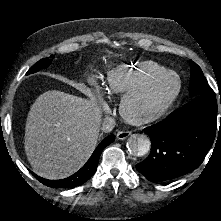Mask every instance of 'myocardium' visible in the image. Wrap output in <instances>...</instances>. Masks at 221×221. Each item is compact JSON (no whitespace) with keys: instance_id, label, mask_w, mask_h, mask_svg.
<instances>
[{"instance_id":"1","label":"myocardium","mask_w":221,"mask_h":221,"mask_svg":"<svg viewBox=\"0 0 221 221\" xmlns=\"http://www.w3.org/2000/svg\"><path fill=\"white\" fill-rule=\"evenodd\" d=\"M175 77L176 86L170 94L160 103L142 107L141 102L150 94L156 85L169 77ZM181 91V79L174 71H165L154 77L144 86L128 92L121 102L123 116L131 123L144 124L161 118L175 103Z\"/></svg>"}]
</instances>
